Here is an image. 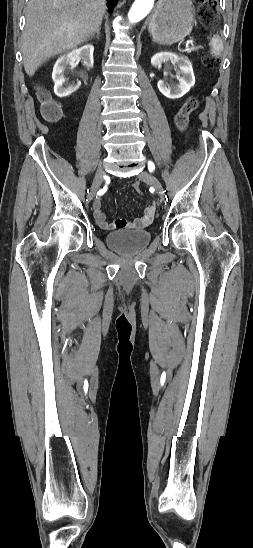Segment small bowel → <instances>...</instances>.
Masks as SVG:
<instances>
[{"instance_id": "c3829d8e", "label": "small bowel", "mask_w": 253, "mask_h": 548, "mask_svg": "<svg viewBox=\"0 0 253 548\" xmlns=\"http://www.w3.org/2000/svg\"><path fill=\"white\" fill-rule=\"evenodd\" d=\"M94 216L98 224L104 229H115V228H130V229H141L150 225L153 221L156 204L154 202L150 203L144 209V214L136 218L132 222H128L125 219H117L114 222H109L106 219V215L102 210V201L97 199L93 204Z\"/></svg>"}]
</instances>
